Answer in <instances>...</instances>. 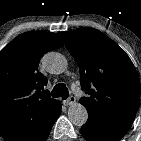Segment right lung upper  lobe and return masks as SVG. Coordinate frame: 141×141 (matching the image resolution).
Here are the masks:
<instances>
[{"label":"right lung upper lobe","mask_w":141,"mask_h":141,"mask_svg":"<svg viewBox=\"0 0 141 141\" xmlns=\"http://www.w3.org/2000/svg\"><path fill=\"white\" fill-rule=\"evenodd\" d=\"M63 46L59 35L27 32L0 51V133L8 135L30 115L60 104L49 95L39 94L47 79L37 72L47 51ZM45 51V52H44Z\"/></svg>","instance_id":"1"}]
</instances>
